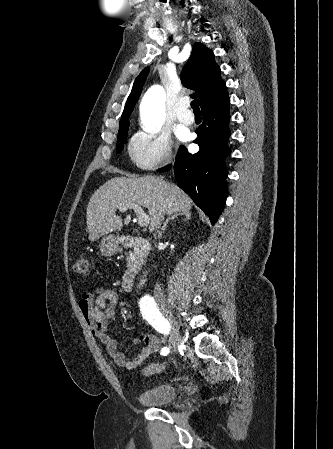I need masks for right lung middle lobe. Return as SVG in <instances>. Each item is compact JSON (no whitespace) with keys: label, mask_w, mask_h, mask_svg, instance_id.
<instances>
[{"label":"right lung middle lobe","mask_w":333,"mask_h":449,"mask_svg":"<svg viewBox=\"0 0 333 449\" xmlns=\"http://www.w3.org/2000/svg\"><path fill=\"white\" fill-rule=\"evenodd\" d=\"M127 118H124L120 121V129L118 133V140L116 145V151L117 153H120L123 149L124 143L126 141L127 137V131L129 127V121L126 120Z\"/></svg>","instance_id":"dd1d6c3e"}]
</instances>
